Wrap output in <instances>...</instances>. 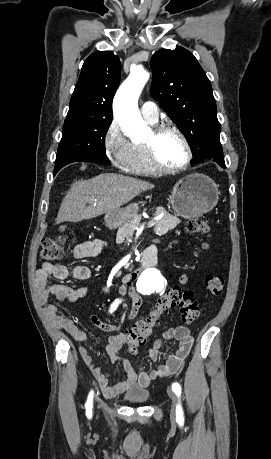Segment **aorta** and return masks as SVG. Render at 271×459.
Returning a JSON list of instances; mask_svg holds the SVG:
<instances>
[{
	"instance_id": "obj_1",
	"label": "aorta",
	"mask_w": 271,
	"mask_h": 459,
	"mask_svg": "<svg viewBox=\"0 0 271 459\" xmlns=\"http://www.w3.org/2000/svg\"><path fill=\"white\" fill-rule=\"evenodd\" d=\"M150 75L142 69H135L119 87L113 101L115 119L124 132L134 138H143L148 128L138 109V98ZM165 274L158 266H147L139 275L136 287L142 294L163 290Z\"/></svg>"
}]
</instances>
